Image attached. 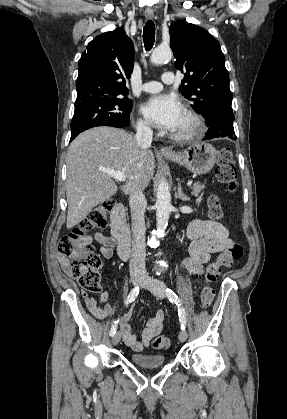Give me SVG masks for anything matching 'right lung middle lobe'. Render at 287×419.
<instances>
[{
    "mask_svg": "<svg viewBox=\"0 0 287 419\" xmlns=\"http://www.w3.org/2000/svg\"><path fill=\"white\" fill-rule=\"evenodd\" d=\"M131 109V101L122 97L102 99L76 107L71 122V136L96 124L128 126Z\"/></svg>",
    "mask_w": 287,
    "mask_h": 419,
    "instance_id": "obj_1",
    "label": "right lung middle lobe"
}]
</instances>
